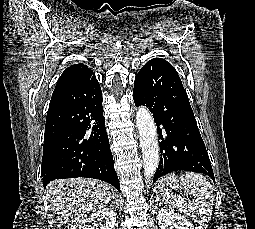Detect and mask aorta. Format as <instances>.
<instances>
[{
    "instance_id": "aorta-1",
    "label": "aorta",
    "mask_w": 255,
    "mask_h": 229,
    "mask_svg": "<svg viewBox=\"0 0 255 229\" xmlns=\"http://www.w3.org/2000/svg\"><path fill=\"white\" fill-rule=\"evenodd\" d=\"M136 123L142 150L144 176L146 181H150L159 164L156 125L150 111L144 106L139 107L137 110Z\"/></svg>"
}]
</instances>
